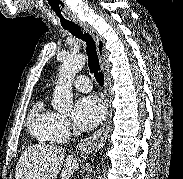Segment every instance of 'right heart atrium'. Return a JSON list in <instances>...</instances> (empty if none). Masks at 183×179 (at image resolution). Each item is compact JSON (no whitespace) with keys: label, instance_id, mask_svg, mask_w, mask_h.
Wrapping results in <instances>:
<instances>
[{"label":"right heart atrium","instance_id":"1","mask_svg":"<svg viewBox=\"0 0 183 179\" xmlns=\"http://www.w3.org/2000/svg\"><path fill=\"white\" fill-rule=\"evenodd\" d=\"M51 130L55 137H64L70 131V122L65 116L56 114L52 122Z\"/></svg>","mask_w":183,"mask_h":179}]
</instances>
